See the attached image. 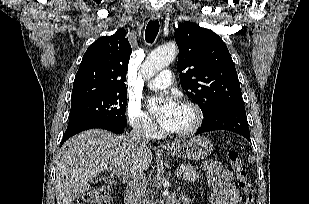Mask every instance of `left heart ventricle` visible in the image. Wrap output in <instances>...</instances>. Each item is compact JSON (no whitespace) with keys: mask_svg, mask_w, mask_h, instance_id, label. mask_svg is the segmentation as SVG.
<instances>
[{"mask_svg":"<svg viewBox=\"0 0 309 204\" xmlns=\"http://www.w3.org/2000/svg\"><path fill=\"white\" fill-rule=\"evenodd\" d=\"M192 121H193L192 112L189 109L180 106L171 131L184 129L188 127L192 123Z\"/></svg>","mask_w":309,"mask_h":204,"instance_id":"b2bd125f","label":"left heart ventricle"}]
</instances>
